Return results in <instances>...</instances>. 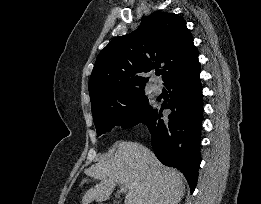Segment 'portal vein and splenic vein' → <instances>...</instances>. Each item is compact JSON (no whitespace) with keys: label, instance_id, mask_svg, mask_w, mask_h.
Wrapping results in <instances>:
<instances>
[{"label":"portal vein and splenic vein","instance_id":"18ae733b","mask_svg":"<svg viewBox=\"0 0 261 204\" xmlns=\"http://www.w3.org/2000/svg\"><path fill=\"white\" fill-rule=\"evenodd\" d=\"M127 189H128L127 185H125V184L120 185V192H126Z\"/></svg>","mask_w":261,"mask_h":204}]
</instances>
